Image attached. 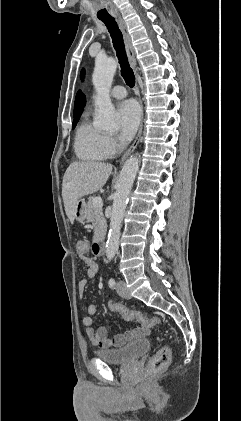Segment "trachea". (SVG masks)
I'll return each mask as SVG.
<instances>
[{
    "instance_id": "trachea-1",
    "label": "trachea",
    "mask_w": 241,
    "mask_h": 421,
    "mask_svg": "<svg viewBox=\"0 0 241 421\" xmlns=\"http://www.w3.org/2000/svg\"><path fill=\"white\" fill-rule=\"evenodd\" d=\"M102 21L106 25L112 38L113 46L116 50L121 67V75L124 78L126 84L130 87H133L135 85V76L128 63L122 33L114 19H102Z\"/></svg>"
}]
</instances>
